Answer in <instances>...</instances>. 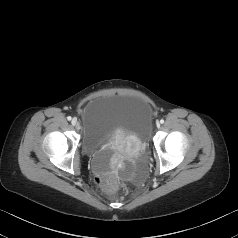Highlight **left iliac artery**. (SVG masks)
<instances>
[{
	"instance_id": "obj_1",
	"label": "left iliac artery",
	"mask_w": 238,
	"mask_h": 238,
	"mask_svg": "<svg viewBox=\"0 0 238 238\" xmlns=\"http://www.w3.org/2000/svg\"><path fill=\"white\" fill-rule=\"evenodd\" d=\"M160 123H161V124H163V123H164V120H163V119H161V120H160Z\"/></svg>"
}]
</instances>
